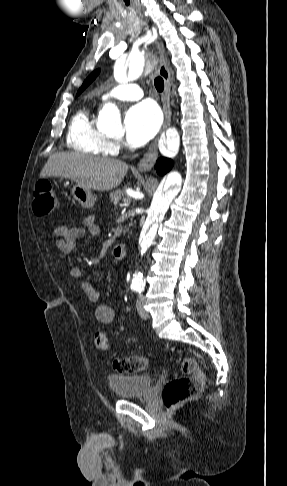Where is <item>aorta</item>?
Masks as SVG:
<instances>
[{
	"instance_id": "obj_1",
	"label": "aorta",
	"mask_w": 287,
	"mask_h": 486,
	"mask_svg": "<svg viewBox=\"0 0 287 486\" xmlns=\"http://www.w3.org/2000/svg\"><path fill=\"white\" fill-rule=\"evenodd\" d=\"M144 61L134 62L129 64L127 72V65L122 61H117L115 64V74L119 78H125L127 81H132L139 77L144 69ZM98 125L100 127L111 129L121 128V118L119 110L116 106L107 104L99 113ZM164 145L171 153H177L180 146V136L176 128H169L166 131V139ZM179 187L174 180L167 179L159 188V193L156 199L151 204L146 221L142 227L139 237V246L141 253L147 251L152 245L159 228L160 223L164 218L165 211L171 199L178 192ZM132 285L143 286L144 280L141 274H135L132 279Z\"/></svg>"
}]
</instances>
